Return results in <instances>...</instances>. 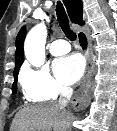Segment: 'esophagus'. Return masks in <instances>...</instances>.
Instances as JSON below:
<instances>
[{"label": "esophagus", "mask_w": 117, "mask_h": 131, "mask_svg": "<svg viewBox=\"0 0 117 131\" xmlns=\"http://www.w3.org/2000/svg\"><path fill=\"white\" fill-rule=\"evenodd\" d=\"M87 58H88V70L84 77L83 84L81 88L76 92V94L74 95L71 101V105L73 109L77 111L85 108L90 102V92H89L88 84L91 79L92 58L89 50L87 51Z\"/></svg>", "instance_id": "esophagus-1"}]
</instances>
